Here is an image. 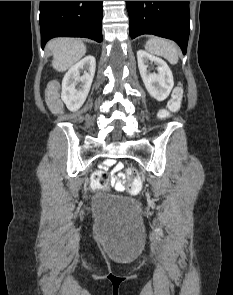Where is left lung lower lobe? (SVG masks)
Masks as SVG:
<instances>
[{
	"mask_svg": "<svg viewBox=\"0 0 233 295\" xmlns=\"http://www.w3.org/2000/svg\"><path fill=\"white\" fill-rule=\"evenodd\" d=\"M130 36L153 34L174 40L186 54L190 26L189 1H126Z\"/></svg>",
	"mask_w": 233,
	"mask_h": 295,
	"instance_id": "0a47b994",
	"label": "left lung lower lobe"
}]
</instances>
